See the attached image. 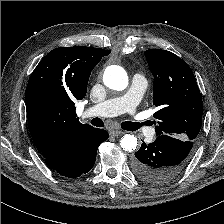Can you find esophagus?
<instances>
[{
	"label": "esophagus",
	"mask_w": 224,
	"mask_h": 224,
	"mask_svg": "<svg viewBox=\"0 0 224 224\" xmlns=\"http://www.w3.org/2000/svg\"><path fill=\"white\" fill-rule=\"evenodd\" d=\"M110 134L112 135V136H120V135H122V134H124V132L122 131V130H118V129H113L111 132H110Z\"/></svg>",
	"instance_id": "34e87169"
}]
</instances>
